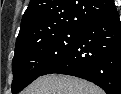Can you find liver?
Returning <instances> with one entry per match:
<instances>
[{
	"label": "liver",
	"instance_id": "1",
	"mask_svg": "<svg viewBox=\"0 0 121 94\" xmlns=\"http://www.w3.org/2000/svg\"><path fill=\"white\" fill-rule=\"evenodd\" d=\"M21 94H105L95 84L73 76L50 74L39 77Z\"/></svg>",
	"mask_w": 121,
	"mask_h": 94
}]
</instances>
